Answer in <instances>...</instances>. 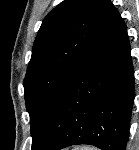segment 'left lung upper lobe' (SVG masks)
<instances>
[{
    "instance_id": "left-lung-upper-lobe-1",
    "label": "left lung upper lobe",
    "mask_w": 139,
    "mask_h": 150,
    "mask_svg": "<svg viewBox=\"0 0 139 150\" xmlns=\"http://www.w3.org/2000/svg\"><path fill=\"white\" fill-rule=\"evenodd\" d=\"M112 6L110 0H64L44 18L23 82L32 145L46 127L57 95Z\"/></svg>"
}]
</instances>
